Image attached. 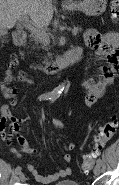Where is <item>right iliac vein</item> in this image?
Segmentation results:
<instances>
[{
  "mask_svg": "<svg viewBox=\"0 0 119 185\" xmlns=\"http://www.w3.org/2000/svg\"><path fill=\"white\" fill-rule=\"evenodd\" d=\"M19 179H20L21 182L25 181L26 178H25L24 173H22V172L19 173Z\"/></svg>",
  "mask_w": 119,
  "mask_h": 185,
  "instance_id": "1",
  "label": "right iliac vein"
}]
</instances>
